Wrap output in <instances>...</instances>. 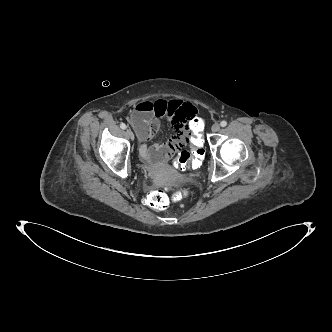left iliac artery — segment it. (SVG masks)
I'll use <instances>...</instances> for the list:
<instances>
[{
  "label": "left iliac artery",
  "instance_id": "44dca946",
  "mask_svg": "<svg viewBox=\"0 0 332 332\" xmlns=\"http://www.w3.org/2000/svg\"><path fill=\"white\" fill-rule=\"evenodd\" d=\"M220 125H221L222 127H225V126L227 125V122H226L225 120H223V121H221Z\"/></svg>",
  "mask_w": 332,
  "mask_h": 332
}]
</instances>
